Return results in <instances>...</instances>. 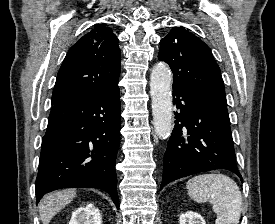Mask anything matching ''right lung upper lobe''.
I'll return each mask as SVG.
<instances>
[{
  "instance_id": "1",
  "label": "right lung upper lobe",
  "mask_w": 275,
  "mask_h": 224,
  "mask_svg": "<svg viewBox=\"0 0 275 224\" xmlns=\"http://www.w3.org/2000/svg\"><path fill=\"white\" fill-rule=\"evenodd\" d=\"M118 39L98 24L68 51L58 72L52 105L85 99L118 86L121 70Z\"/></svg>"
}]
</instances>
